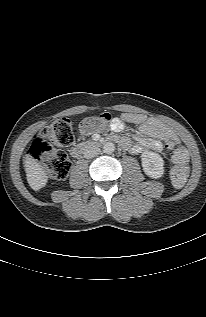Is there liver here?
I'll return each mask as SVG.
<instances>
[{
  "instance_id": "liver-1",
  "label": "liver",
  "mask_w": 206,
  "mask_h": 317,
  "mask_svg": "<svg viewBox=\"0 0 206 317\" xmlns=\"http://www.w3.org/2000/svg\"><path fill=\"white\" fill-rule=\"evenodd\" d=\"M24 164L29 186L34 191H38L43 188L48 181V177L43 166L29 155H26Z\"/></svg>"
}]
</instances>
